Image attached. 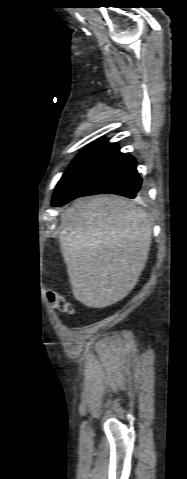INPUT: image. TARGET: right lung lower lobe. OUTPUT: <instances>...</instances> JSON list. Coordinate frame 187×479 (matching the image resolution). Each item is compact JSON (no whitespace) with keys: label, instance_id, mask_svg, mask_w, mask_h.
Returning <instances> with one entry per match:
<instances>
[{"label":"right lung lower lobe","instance_id":"right-lung-lower-lobe-1","mask_svg":"<svg viewBox=\"0 0 187 479\" xmlns=\"http://www.w3.org/2000/svg\"><path fill=\"white\" fill-rule=\"evenodd\" d=\"M101 193L131 199L141 196L142 178L137 173L133 156L114 149L79 176L52 205L59 207L75 198Z\"/></svg>","mask_w":187,"mask_h":479}]
</instances>
